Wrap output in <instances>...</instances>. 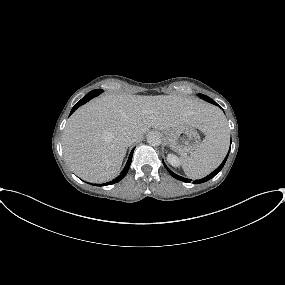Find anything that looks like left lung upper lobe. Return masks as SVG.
I'll list each match as a JSON object with an SVG mask.
<instances>
[{"label":"left lung upper lobe","mask_w":285,"mask_h":285,"mask_svg":"<svg viewBox=\"0 0 285 285\" xmlns=\"http://www.w3.org/2000/svg\"><path fill=\"white\" fill-rule=\"evenodd\" d=\"M198 96H199L200 98L204 99L205 101H208V102H210V103H212V104H215V105H216V102H215V101H213V100H212L211 98H209L208 96L203 95V94H198Z\"/></svg>","instance_id":"left-lung-upper-lobe-1"}]
</instances>
